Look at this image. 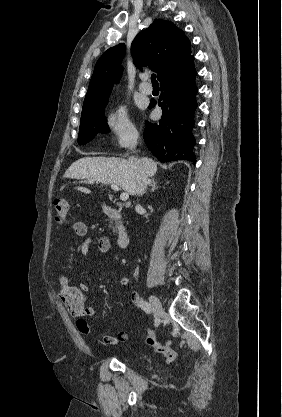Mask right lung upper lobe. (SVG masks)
Listing matches in <instances>:
<instances>
[{
	"mask_svg": "<svg viewBox=\"0 0 282 417\" xmlns=\"http://www.w3.org/2000/svg\"><path fill=\"white\" fill-rule=\"evenodd\" d=\"M126 47L118 44L106 50L96 63L87 94L94 96L110 93L123 71L121 62ZM190 42L182 30L172 22L156 19L132 42L131 54L136 66H148L157 73L160 81L177 67L193 60Z\"/></svg>",
	"mask_w": 282,
	"mask_h": 417,
	"instance_id": "cb5924a9",
	"label": "right lung upper lobe"
}]
</instances>
